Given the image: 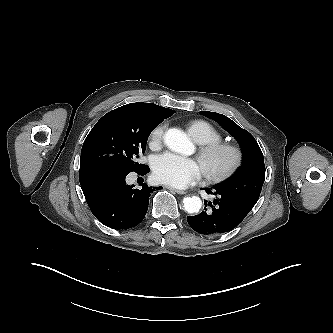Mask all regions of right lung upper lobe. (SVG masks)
Returning <instances> with one entry per match:
<instances>
[{
	"instance_id": "cb5924a9",
	"label": "right lung upper lobe",
	"mask_w": 333,
	"mask_h": 333,
	"mask_svg": "<svg viewBox=\"0 0 333 333\" xmlns=\"http://www.w3.org/2000/svg\"><path fill=\"white\" fill-rule=\"evenodd\" d=\"M118 109L142 111L165 118H168L174 114L173 110L158 106L153 103H131L119 107Z\"/></svg>"
}]
</instances>
